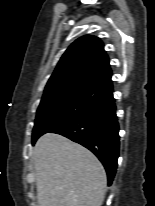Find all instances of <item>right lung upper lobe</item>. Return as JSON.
I'll list each match as a JSON object with an SVG mask.
<instances>
[{
	"label": "right lung upper lobe",
	"instance_id": "1",
	"mask_svg": "<svg viewBox=\"0 0 155 206\" xmlns=\"http://www.w3.org/2000/svg\"><path fill=\"white\" fill-rule=\"evenodd\" d=\"M109 58L102 41L86 35L73 42L61 57L45 91L83 86L105 93L113 91Z\"/></svg>",
	"mask_w": 155,
	"mask_h": 206
}]
</instances>
